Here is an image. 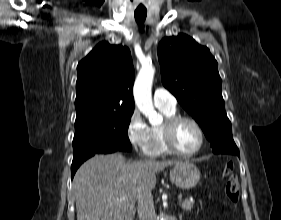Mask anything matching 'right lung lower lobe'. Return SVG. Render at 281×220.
Returning a JSON list of instances; mask_svg holds the SVG:
<instances>
[{
    "mask_svg": "<svg viewBox=\"0 0 281 220\" xmlns=\"http://www.w3.org/2000/svg\"><path fill=\"white\" fill-rule=\"evenodd\" d=\"M117 151H120V150L110 149V150L99 152V153L90 152V153H86V154H83V155H80V156H77V157L73 158V162H72V166H71L72 178H73L76 170L78 169V167L88 158H90V157H92L96 154H109V153H114V152H117Z\"/></svg>",
    "mask_w": 281,
    "mask_h": 220,
    "instance_id": "1",
    "label": "right lung lower lobe"
}]
</instances>
